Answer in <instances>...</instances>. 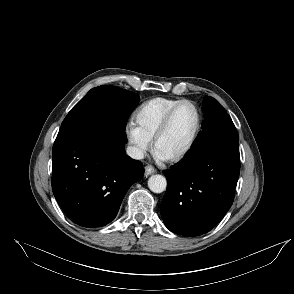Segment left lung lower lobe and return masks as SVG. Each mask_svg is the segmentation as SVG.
<instances>
[{"label": "left lung lower lobe", "mask_w": 294, "mask_h": 294, "mask_svg": "<svg viewBox=\"0 0 294 294\" xmlns=\"http://www.w3.org/2000/svg\"><path fill=\"white\" fill-rule=\"evenodd\" d=\"M238 144L235 126L204 130L185 160L164 171L161 216L170 231L194 237L223 219L240 173Z\"/></svg>", "instance_id": "obj_1"}]
</instances>
